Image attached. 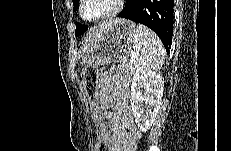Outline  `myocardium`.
Listing matches in <instances>:
<instances>
[{"label":"myocardium","instance_id":"obj_1","mask_svg":"<svg viewBox=\"0 0 231 151\" xmlns=\"http://www.w3.org/2000/svg\"><path fill=\"white\" fill-rule=\"evenodd\" d=\"M87 1L88 0H82L80 2L79 14L83 20L88 22H101L111 17H114L120 12L122 5L125 2L124 0H113L112 8L108 12L95 17H87L84 13V9L87 4Z\"/></svg>","mask_w":231,"mask_h":151}]
</instances>
